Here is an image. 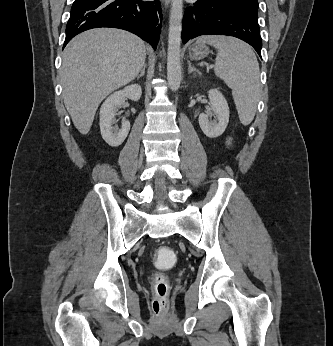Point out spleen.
I'll use <instances>...</instances> for the list:
<instances>
[{"label": "spleen", "mask_w": 333, "mask_h": 346, "mask_svg": "<svg viewBox=\"0 0 333 346\" xmlns=\"http://www.w3.org/2000/svg\"><path fill=\"white\" fill-rule=\"evenodd\" d=\"M197 43H208L218 50L214 72L232 89L241 123L250 124L261 88L259 64L253 50L248 44L226 36H202Z\"/></svg>", "instance_id": "3e777b00"}]
</instances>
